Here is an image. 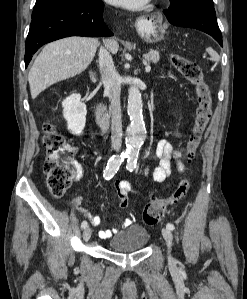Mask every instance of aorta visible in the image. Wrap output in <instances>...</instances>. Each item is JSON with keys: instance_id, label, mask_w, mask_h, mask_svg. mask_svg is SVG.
<instances>
[{"instance_id": "aorta-1", "label": "aorta", "mask_w": 247, "mask_h": 299, "mask_svg": "<svg viewBox=\"0 0 247 299\" xmlns=\"http://www.w3.org/2000/svg\"><path fill=\"white\" fill-rule=\"evenodd\" d=\"M143 103L140 90L131 86L128 90L127 112L130 124L126 128L127 153L136 156L145 140L146 128L142 113Z\"/></svg>"}]
</instances>
